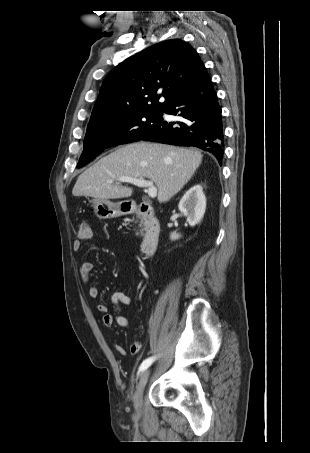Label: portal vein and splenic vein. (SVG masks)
I'll list each match as a JSON object with an SVG mask.
<instances>
[{
  "instance_id": "18ae733b",
  "label": "portal vein and splenic vein",
  "mask_w": 310,
  "mask_h": 453,
  "mask_svg": "<svg viewBox=\"0 0 310 453\" xmlns=\"http://www.w3.org/2000/svg\"><path fill=\"white\" fill-rule=\"evenodd\" d=\"M114 180L119 182H127L134 184L138 187L148 188V195L150 198H155L157 196V188L153 185L152 181L145 180L144 178H132L127 176H121L118 178H113L112 180L107 181V183H113Z\"/></svg>"
}]
</instances>
